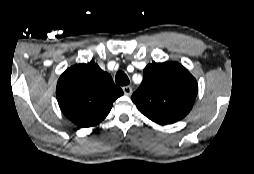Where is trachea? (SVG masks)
<instances>
[{
    "instance_id": "3493384b",
    "label": "trachea",
    "mask_w": 254,
    "mask_h": 174,
    "mask_svg": "<svg viewBox=\"0 0 254 174\" xmlns=\"http://www.w3.org/2000/svg\"><path fill=\"white\" fill-rule=\"evenodd\" d=\"M115 82L118 85L126 86L129 84V78L124 72L119 71L115 76Z\"/></svg>"
}]
</instances>
